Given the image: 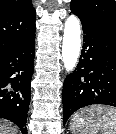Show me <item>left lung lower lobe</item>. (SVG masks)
I'll list each match as a JSON object with an SVG mask.
<instances>
[{
  "label": "left lung lower lobe",
  "instance_id": "obj_1",
  "mask_svg": "<svg viewBox=\"0 0 116 134\" xmlns=\"http://www.w3.org/2000/svg\"><path fill=\"white\" fill-rule=\"evenodd\" d=\"M84 43L76 71L63 86V125L78 109L116 107V24L81 19Z\"/></svg>",
  "mask_w": 116,
  "mask_h": 134
}]
</instances>
